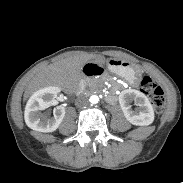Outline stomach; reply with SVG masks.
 Instances as JSON below:
<instances>
[{
	"instance_id": "1",
	"label": "stomach",
	"mask_w": 183,
	"mask_h": 183,
	"mask_svg": "<svg viewBox=\"0 0 183 183\" xmlns=\"http://www.w3.org/2000/svg\"><path fill=\"white\" fill-rule=\"evenodd\" d=\"M108 70L118 76L124 78L130 84H138L142 77V70L129 62L111 58L107 61Z\"/></svg>"
}]
</instances>
